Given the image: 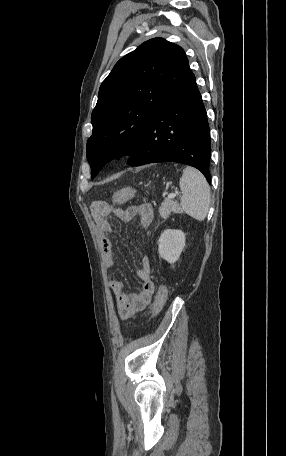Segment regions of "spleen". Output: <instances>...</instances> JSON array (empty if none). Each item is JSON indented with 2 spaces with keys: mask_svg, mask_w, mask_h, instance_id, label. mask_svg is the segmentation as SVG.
<instances>
[{
  "mask_svg": "<svg viewBox=\"0 0 286 456\" xmlns=\"http://www.w3.org/2000/svg\"><path fill=\"white\" fill-rule=\"evenodd\" d=\"M182 191L181 206L186 214L203 221L210 207V187L204 175L192 167H186L179 182Z\"/></svg>",
  "mask_w": 286,
  "mask_h": 456,
  "instance_id": "1",
  "label": "spleen"
}]
</instances>
